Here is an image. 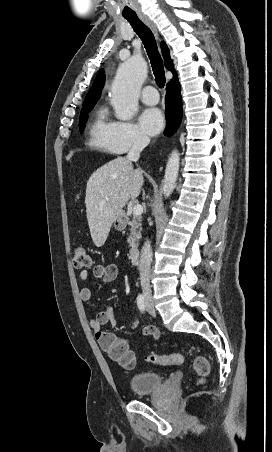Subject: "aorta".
Segmentation results:
<instances>
[{
	"instance_id": "762f6f07",
	"label": "aorta",
	"mask_w": 272,
	"mask_h": 452,
	"mask_svg": "<svg viewBox=\"0 0 272 452\" xmlns=\"http://www.w3.org/2000/svg\"><path fill=\"white\" fill-rule=\"evenodd\" d=\"M146 76L147 65L140 55L132 56L118 68L111 87V104L118 119L130 120L137 112L138 95ZM179 161V152L172 151L166 165L162 186L165 198L172 194L176 186Z\"/></svg>"
}]
</instances>
